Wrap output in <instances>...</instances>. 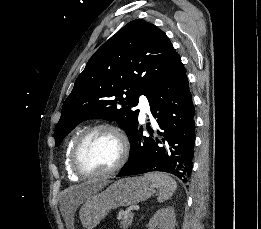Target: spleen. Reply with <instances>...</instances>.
<instances>
[{
	"mask_svg": "<svg viewBox=\"0 0 261 229\" xmlns=\"http://www.w3.org/2000/svg\"><path fill=\"white\" fill-rule=\"evenodd\" d=\"M144 177L145 179H148V181H152L156 189H158V203L168 201L177 189V183L170 177L169 173H158V171H154V173H146Z\"/></svg>",
	"mask_w": 261,
	"mask_h": 229,
	"instance_id": "obj_1",
	"label": "spleen"
}]
</instances>
